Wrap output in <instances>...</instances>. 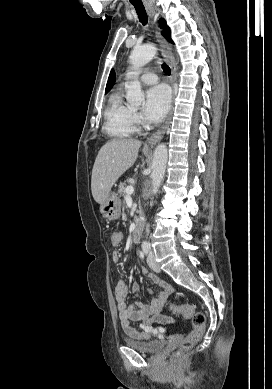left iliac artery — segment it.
Returning a JSON list of instances; mask_svg holds the SVG:
<instances>
[{
    "instance_id": "1",
    "label": "left iliac artery",
    "mask_w": 272,
    "mask_h": 389,
    "mask_svg": "<svg viewBox=\"0 0 272 389\" xmlns=\"http://www.w3.org/2000/svg\"><path fill=\"white\" fill-rule=\"evenodd\" d=\"M149 249H150V243L148 241H144L142 243V250L145 254H147L149 252Z\"/></svg>"
}]
</instances>
